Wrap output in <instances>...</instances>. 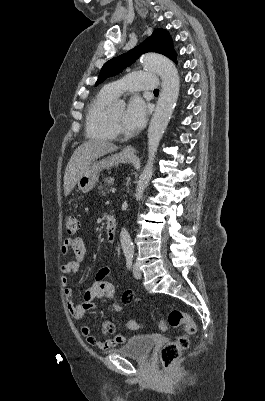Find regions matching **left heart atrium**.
I'll return each mask as SVG.
<instances>
[{
  "label": "left heart atrium",
  "instance_id": "obj_1",
  "mask_svg": "<svg viewBox=\"0 0 265 401\" xmlns=\"http://www.w3.org/2000/svg\"><path fill=\"white\" fill-rule=\"evenodd\" d=\"M147 106L140 97H132L125 111V124L131 130L140 129L147 119Z\"/></svg>",
  "mask_w": 265,
  "mask_h": 401
}]
</instances>
